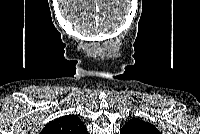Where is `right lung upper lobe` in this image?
<instances>
[{"instance_id":"cb5924a9","label":"right lung upper lobe","mask_w":200,"mask_h":134,"mask_svg":"<svg viewBox=\"0 0 200 134\" xmlns=\"http://www.w3.org/2000/svg\"><path fill=\"white\" fill-rule=\"evenodd\" d=\"M44 134H86L83 122L75 115H66L48 123L43 129Z\"/></svg>"}]
</instances>
